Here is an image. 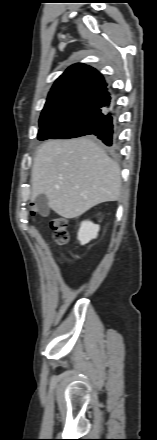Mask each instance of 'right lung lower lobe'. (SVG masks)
<instances>
[{"instance_id": "obj_1", "label": "right lung lower lobe", "mask_w": 157, "mask_h": 440, "mask_svg": "<svg viewBox=\"0 0 157 440\" xmlns=\"http://www.w3.org/2000/svg\"><path fill=\"white\" fill-rule=\"evenodd\" d=\"M98 139L102 140L107 146L113 145L114 121L113 114L109 111L102 113L88 127Z\"/></svg>"}]
</instances>
